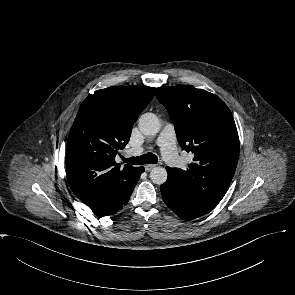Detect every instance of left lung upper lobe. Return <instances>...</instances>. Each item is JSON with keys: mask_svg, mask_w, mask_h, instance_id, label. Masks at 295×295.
Masks as SVG:
<instances>
[{"mask_svg": "<svg viewBox=\"0 0 295 295\" xmlns=\"http://www.w3.org/2000/svg\"><path fill=\"white\" fill-rule=\"evenodd\" d=\"M156 97L169 112L181 148L194 155L187 170L167 167L168 179L208 213L226 194L236 170L239 138L233 116L219 97L191 85L159 87Z\"/></svg>", "mask_w": 295, "mask_h": 295, "instance_id": "obj_1", "label": "left lung upper lobe"}]
</instances>
